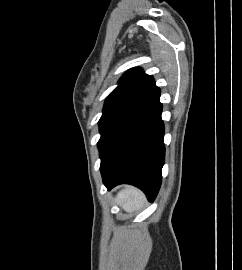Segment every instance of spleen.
<instances>
[{
    "label": "spleen",
    "instance_id": "3e777b00",
    "mask_svg": "<svg viewBox=\"0 0 242 270\" xmlns=\"http://www.w3.org/2000/svg\"><path fill=\"white\" fill-rule=\"evenodd\" d=\"M116 202L127 212H134L146 205L144 194L134 187L122 189L116 198Z\"/></svg>",
    "mask_w": 242,
    "mask_h": 270
}]
</instances>
